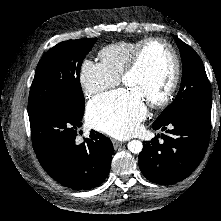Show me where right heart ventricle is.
I'll return each instance as SVG.
<instances>
[{"label":"right heart ventricle","instance_id":"obj_1","mask_svg":"<svg viewBox=\"0 0 221 221\" xmlns=\"http://www.w3.org/2000/svg\"><path fill=\"white\" fill-rule=\"evenodd\" d=\"M143 40L144 39L119 41L104 47L99 52L100 64L103 69L109 74L120 78L123 70L129 63L135 48Z\"/></svg>","mask_w":221,"mask_h":221}]
</instances>
